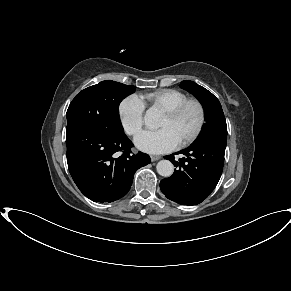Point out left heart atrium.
Listing matches in <instances>:
<instances>
[{"instance_id":"1","label":"left heart atrium","mask_w":291,"mask_h":291,"mask_svg":"<svg viewBox=\"0 0 291 291\" xmlns=\"http://www.w3.org/2000/svg\"><path fill=\"white\" fill-rule=\"evenodd\" d=\"M135 145L140 150L160 154L173 150L178 146V141L167 128L154 131H143L135 138Z\"/></svg>"}]
</instances>
